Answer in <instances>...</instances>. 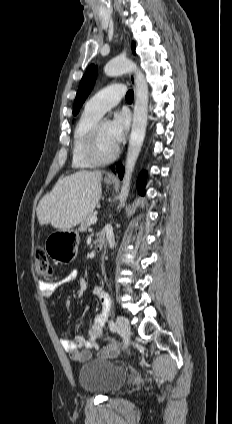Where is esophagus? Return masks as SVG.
Instances as JSON below:
<instances>
[{"label": "esophagus", "instance_id": "obj_1", "mask_svg": "<svg viewBox=\"0 0 232 424\" xmlns=\"http://www.w3.org/2000/svg\"><path fill=\"white\" fill-rule=\"evenodd\" d=\"M129 79H130V82H131V84L133 85V87L135 88V76H134V74H129ZM107 178H109V179H114V176L113 175H111V174H108L107 175Z\"/></svg>", "mask_w": 232, "mask_h": 424}]
</instances>
